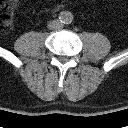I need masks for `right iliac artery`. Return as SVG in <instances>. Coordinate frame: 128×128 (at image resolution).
Returning a JSON list of instances; mask_svg holds the SVG:
<instances>
[{
    "label": "right iliac artery",
    "mask_w": 128,
    "mask_h": 128,
    "mask_svg": "<svg viewBox=\"0 0 128 128\" xmlns=\"http://www.w3.org/2000/svg\"><path fill=\"white\" fill-rule=\"evenodd\" d=\"M59 19H60L61 22H64L65 15L63 13H61L60 16H59Z\"/></svg>",
    "instance_id": "right-iliac-artery-1"
}]
</instances>
